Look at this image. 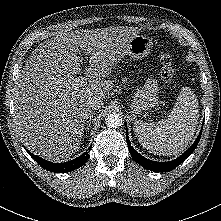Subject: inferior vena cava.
<instances>
[{"instance_id":"obj_1","label":"inferior vena cava","mask_w":221,"mask_h":221,"mask_svg":"<svg viewBox=\"0 0 221 221\" xmlns=\"http://www.w3.org/2000/svg\"><path fill=\"white\" fill-rule=\"evenodd\" d=\"M103 101L100 99H91L86 103V110L88 112L98 110L103 107Z\"/></svg>"}]
</instances>
